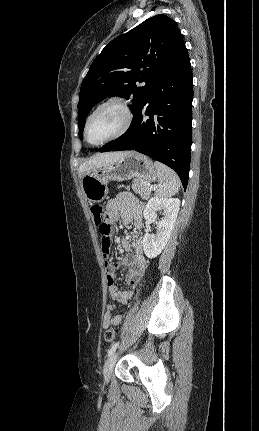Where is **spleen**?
Wrapping results in <instances>:
<instances>
[{"instance_id": "spleen-1", "label": "spleen", "mask_w": 259, "mask_h": 431, "mask_svg": "<svg viewBox=\"0 0 259 431\" xmlns=\"http://www.w3.org/2000/svg\"><path fill=\"white\" fill-rule=\"evenodd\" d=\"M154 166L158 174V189L156 196L167 198L175 195L180 189V179L178 175L166 165L155 161Z\"/></svg>"}]
</instances>
